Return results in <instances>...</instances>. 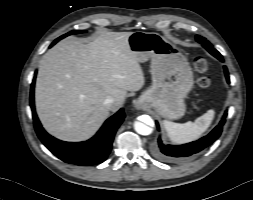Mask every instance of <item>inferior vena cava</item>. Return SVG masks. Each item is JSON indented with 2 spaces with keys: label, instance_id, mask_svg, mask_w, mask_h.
I'll list each match as a JSON object with an SVG mask.
<instances>
[{
  "label": "inferior vena cava",
  "instance_id": "1",
  "mask_svg": "<svg viewBox=\"0 0 253 200\" xmlns=\"http://www.w3.org/2000/svg\"><path fill=\"white\" fill-rule=\"evenodd\" d=\"M115 100L113 97H107L105 100H104V105L108 108V109H111L113 107V104H114Z\"/></svg>",
  "mask_w": 253,
  "mask_h": 200
}]
</instances>
